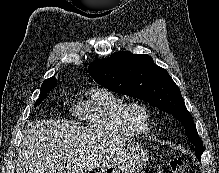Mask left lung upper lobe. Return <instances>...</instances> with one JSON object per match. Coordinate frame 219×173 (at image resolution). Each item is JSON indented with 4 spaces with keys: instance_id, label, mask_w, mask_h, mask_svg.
<instances>
[{
    "instance_id": "1",
    "label": "left lung upper lobe",
    "mask_w": 219,
    "mask_h": 173,
    "mask_svg": "<svg viewBox=\"0 0 219 173\" xmlns=\"http://www.w3.org/2000/svg\"><path fill=\"white\" fill-rule=\"evenodd\" d=\"M89 74L111 91L143 99L164 112L174 114L184 126L200 160L203 142L180 89L168 72L154 63L151 56L129 51L116 52L108 58L93 61L89 65Z\"/></svg>"
}]
</instances>
